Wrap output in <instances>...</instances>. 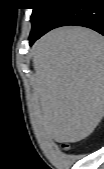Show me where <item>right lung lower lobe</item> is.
Returning a JSON list of instances; mask_svg holds the SVG:
<instances>
[{"label": "right lung lower lobe", "instance_id": "1", "mask_svg": "<svg viewBox=\"0 0 104 169\" xmlns=\"http://www.w3.org/2000/svg\"><path fill=\"white\" fill-rule=\"evenodd\" d=\"M56 10L29 37L30 45L51 29L77 25L91 28L104 35V0H57Z\"/></svg>", "mask_w": 104, "mask_h": 169}]
</instances>
